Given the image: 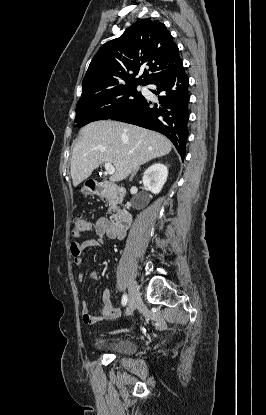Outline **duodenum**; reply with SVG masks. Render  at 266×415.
Returning <instances> with one entry per match:
<instances>
[{"instance_id":"obj_1","label":"duodenum","mask_w":266,"mask_h":415,"mask_svg":"<svg viewBox=\"0 0 266 415\" xmlns=\"http://www.w3.org/2000/svg\"><path fill=\"white\" fill-rule=\"evenodd\" d=\"M89 189L96 195H103L110 191L118 195L124 194L123 189L117 188L109 182L91 181L89 182ZM131 221V214L126 209H118L111 217L110 224L120 230H125L131 225Z\"/></svg>"}]
</instances>
